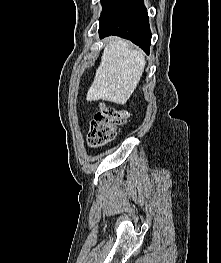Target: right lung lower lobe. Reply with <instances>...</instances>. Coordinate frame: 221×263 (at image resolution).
I'll return each instance as SVG.
<instances>
[{
  "label": "right lung lower lobe",
  "instance_id": "obj_1",
  "mask_svg": "<svg viewBox=\"0 0 221 263\" xmlns=\"http://www.w3.org/2000/svg\"><path fill=\"white\" fill-rule=\"evenodd\" d=\"M100 37L116 35L131 40L149 54L151 32L143 0H113L102 11Z\"/></svg>",
  "mask_w": 221,
  "mask_h": 263
}]
</instances>
